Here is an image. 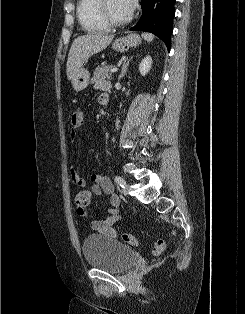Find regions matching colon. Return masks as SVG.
<instances>
[{
	"instance_id": "1",
	"label": "colon",
	"mask_w": 245,
	"mask_h": 314,
	"mask_svg": "<svg viewBox=\"0 0 245 314\" xmlns=\"http://www.w3.org/2000/svg\"><path fill=\"white\" fill-rule=\"evenodd\" d=\"M90 200H91V194L87 190L80 191L76 194L75 204L77 206L78 213L84 214L88 211V207L90 205ZM121 239L125 243L133 245V246L138 244L137 239L129 233H123L121 235ZM165 247H166L165 242L162 240H159L153 246V253L155 255H159L160 253H162V251L165 249Z\"/></svg>"
}]
</instances>
